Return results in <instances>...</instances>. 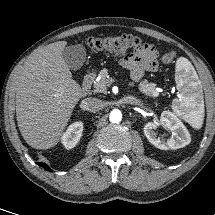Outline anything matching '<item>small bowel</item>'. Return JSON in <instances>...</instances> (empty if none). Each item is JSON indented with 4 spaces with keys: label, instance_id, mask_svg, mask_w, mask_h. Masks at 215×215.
<instances>
[{
    "label": "small bowel",
    "instance_id": "c3829d8e",
    "mask_svg": "<svg viewBox=\"0 0 215 215\" xmlns=\"http://www.w3.org/2000/svg\"><path fill=\"white\" fill-rule=\"evenodd\" d=\"M120 64L130 71L134 81H139L146 72L158 70L157 51L151 44H143L132 54L123 57Z\"/></svg>",
    "mask_w": 215,
    "mask_h": 215
}]
</instances>
